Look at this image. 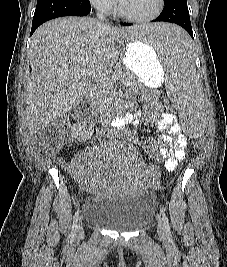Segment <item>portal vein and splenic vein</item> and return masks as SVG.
<instances>
[{"instance_id":"obj_1","label":"portal vein and splenic vein","mask_w":227,"mask_h":267,"mask_svg":"<svg viewBox=\"0 0 227 267\" xmlns=\"http://www.w3.org/2000/svg\"><path fill=\"white\" fill-rule=\"evenodd\" d=\"M73 75L76 78H80L81 76H91L96 83L102 85H107L110 81H116L118 78L116 75L109 76L105 73H92L90 70H78L75 71Z\"/></svg>"}]
</instances>
